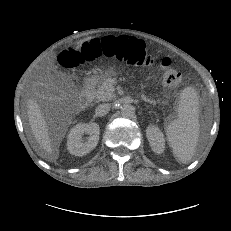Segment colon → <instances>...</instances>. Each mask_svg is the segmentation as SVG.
<instances>
[{
  "label": "colon",
  "instance_id": "1",
  "mask_svg": "<svg viewBox=\"0 0 231 231\" xmlns=\"http://www.w3.org/2000/svg\"><path fill=\"white\" fill-rule=\"evenodd\" d=\"M100 57L116 59L133 66L152 67L156 64L155 58L146 52L142 40L126 35L92 40L83 46L81 52L64 51L60 54L59 61L62 66L72 68ZM160 66L164 70L163 79L166 86L175 87L180 84L181 73L173 67L170 58H163Z\"/></svg>",
  "mask_w": 231,
  "mask_h": 231
}]
</instances>
